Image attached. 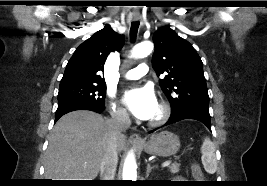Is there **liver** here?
<instances>
[{"label": "liver", "instance_id": "obj_1", "mask_svg": "<svg viewBox=\"0 0 267 186\" xmlns=\"http://www.w3.org/2000/svg\"><path fill=\"white\" fill-rule=\"evenodd\" d=\"M108 138V120L85 110L61 117L50 137L44 158L45 178L52 180H94L97 177ZM125 136L117 141L121 152Z\"/></svg>", "mask_w": 267, "mask_h": 186}]
</instances>
